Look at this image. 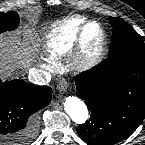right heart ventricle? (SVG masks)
<instances>
[{
	"instance_id": "1",
	"label": "right heart ventricle",
	"mask_w": 145,
	"mask_h": 145,
	"mask_svg": "<svg viewBox=\"0 0 145 145\" xmlns=\"http://www.w3.org/2000/svg\"><path fill=\"white\" fill-rule=\"evenodd\" d=\"M86 22V18L73 16L55 23L46 35L44 51L47 57L56 61L69 55L76 43L80 27Z\"/></svg>"
}]
</instances>
